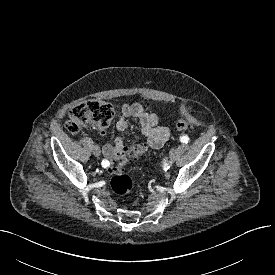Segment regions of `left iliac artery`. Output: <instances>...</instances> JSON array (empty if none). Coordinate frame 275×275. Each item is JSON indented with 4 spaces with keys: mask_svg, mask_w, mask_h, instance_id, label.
<instances>
[{
    "mask_svg": "<svg viewBox=\"0 0 275 275\" xmlns=\"http://www.w3.org/2000/svg\"><path fill=\"white\" fill-rule=\"evenodd\" d=\"M180 141L182 143H188L189 142V137L187 135L181 136Z\"/></svg>",
    "mask_w": 275,
    "mask_h": 275,
    "instance_id": "1",
    "label": "left iliac artery"
}]
</instances>
